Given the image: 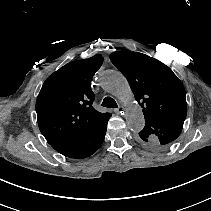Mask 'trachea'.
<instances>
[{"label": "trachea", "mask_w": 211, "mask_h": 211, "mask_svg": "<svg viewBox=\"0 0 211 211\" xmlns=\"http://www.w3.org/2000/svg\"><path fill=\"white\" fill-rule=\"evenodd\" d=\"M103 107H107V108H117L118 105L115 102V100L109 96L105 97L102 101L101 104Z\"/></svg>", "instance_id": "1"}]
</instances>
